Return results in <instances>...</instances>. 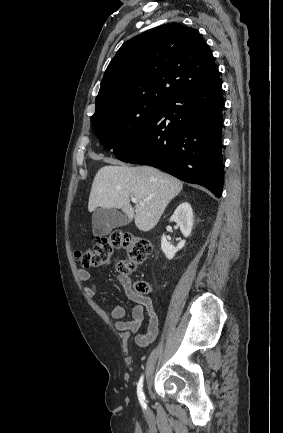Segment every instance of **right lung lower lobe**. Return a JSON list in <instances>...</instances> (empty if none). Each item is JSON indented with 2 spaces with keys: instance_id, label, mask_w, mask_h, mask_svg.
Segmentation results:
<instances>
[{
  "instance_id": "right-lung-lower-lobe-1",
  "label": "right lung lower lobe",
  "mask_w": 283,
  "mask_h": 433,
  "mask_svg": "<svg viewBox=\"0 0 283 433\" xmlns=\"http://www.w3.org/2000/svg\"><path fill=\"white\" fill-rule=\"evenodd\" d=\"M223 108L222 85L217 77L167 100L134 142L116 157L159 168L220 197Z\"/></svg>"
}]
</instances>
